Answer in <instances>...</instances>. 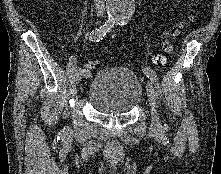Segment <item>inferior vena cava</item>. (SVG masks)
<instances>
[{"instance_id":"1","label":"inferior vena cava","mask_w":221,"mask_h":174,"mask_svg":"<svg viewBox=\"0 0 221 174\" xmlns=\"http://www.w3.org/2000/svg\"><path fill=\"white\" fill-rule=\"evenodd\" d=\"M97 16H103L105 13V0H94Z\"/></svg>"}]
</instances>
